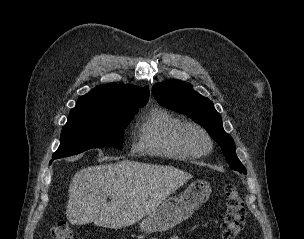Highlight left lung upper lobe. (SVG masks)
I'll list each match as a JSON object with an SVG mask.
<instances>
[{
  "mask_svg": "<svg viewBox=\"0 0 304 239\" xmlns=\"http://www.w3.org/2000/svg\"><path fill=\"white\" fill-rule=\"evenodd\" d=\"M152 93L162 106L183 113L204 127L221 146L230 168L247 173L236 155L233 139L224 131L221 116L208 98L194 91L190 83L179 80L157 83Z\"/></svg>",
  "mask_w": 304,
  "mask_h": 239,
  "instance_id": "left-lung-upper-lobe-1",
  "label": "left lung upper lobe"
}]
</instances>
